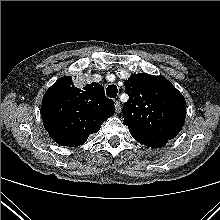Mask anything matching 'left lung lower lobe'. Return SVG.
<instances>
[{"instance_id":"1","label":"left lung lower lobe","mask_w":220,"mask_h":220,"mask_svg":"<svg viewBox=\"0 0 220 220\" xmlns=\"http://www.w3.org/2000/svg\"><path fill=\"white\" fill-rule=\"evenodd\" d=\"M131 135L139 143L144 144L148 147H152V148L164 147L166 145V143L169 141L166 139H156V138L139 136V135H135V134H131Z\"/></svg>"}]
</instances>
